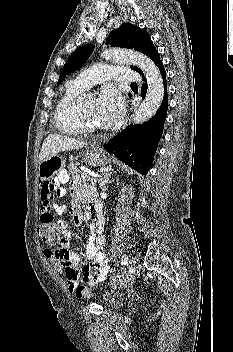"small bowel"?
<instances>
[{"mask_svg":"<svg viewBox=\"0 0 233 352\" xmlns=\"http://www.w3.org/2000/svg\"><path fill=\"white\" fill-rule=\"evenodd\" d=\"M69 180V174L62 170L58 175L49 181H45L41 189V223H51L58 226L64 233L65 241L58 245L45 250L46 257L52 261L55 267L64 275L67 281L69 291L74 292L79 282L93 286L105 280L109 273L110 267L108 259L104 253L106 238L104 235V218L100 214H94L91 208V225L90 236L83 254L70 252L68 245L70 233L67 230V224L64 220H55L56 215H61L65 207L54 202L55 199L63 197L67 190L64 187ZM72 209L71 216L75 225L82 222V214L79 208L80 201L88 199L90 205L95 200L93 194L81 187L79 183L74 182L71 187ZM89 260L90 263L82 268L78 267V262L82 259Z\"/></svg>","mask_w":233,"mask_h":352,"instance_id":"1","label":"small bowel"}]
</instances>
